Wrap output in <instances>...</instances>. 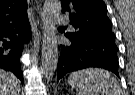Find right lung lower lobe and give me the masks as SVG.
<instances>
[{
    "mask_svg": "<svg viewBox=\"0 0 135 95\" xmlns=\"http://www.w3.org/2000/svg\"><path fill=\"white\" fill-rule=\"evenodd\" d=\"M31 27L28 16L18 21L0 22V68L13 72L23 84L20 57L23 45L28 43Z\"/></svg>",
    "mask_w": 135,
    "mask_h": 95,
    "instance_id": "98d812e1",
    "label": "right lung lower lobe"
}]
</instances>
